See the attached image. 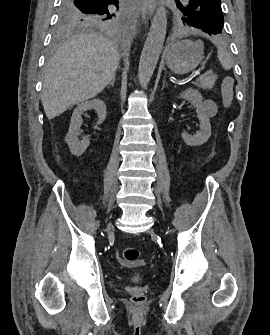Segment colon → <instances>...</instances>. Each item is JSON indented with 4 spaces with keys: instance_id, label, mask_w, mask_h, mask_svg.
I'll list each match as a JSON object with an SVG mask.
<instances>
[{
    "instance_id": "colon-1",
    "label": "colon",
    "mask_w": 270,
    "mask_h": 335,
    "mask_svg": "<svg viewBox=\"0 0 270 335\" xmlns=\"http://www.w3.org/2000/svg\"><path fill=\"white\" fill-rule=\"evenodd\" d=\"M220 79L223 80V91L221 93V103H220V108L221 109H234L235 108V103L230 102V99L234 98V93L232 91L234 87V80L232 78V72H220ZM118 260L124 264H134L135 261L138 258V250L135 248H124L119 251L117 254ZM135 302L141 303L144 300V297L142 296H136L134 298Z\"/></svg>"
}]
</instances>
